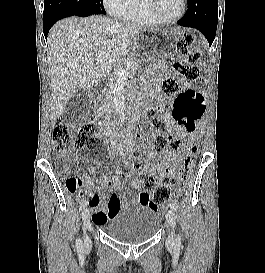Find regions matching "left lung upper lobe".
Returning <instances> with one entry per match:
<instances>
[{
    "mask_svg": "<svg viewBox=\"0 0 265 273\" xmlns=\"http://www.w3.org/2000/svg\"><path fill=\"white\" fill-rule=\"evenodd\" d=\"M187 1H188V0H187ZM217 15H218V12H217V11H216V12L214 11V12L211 14L212 17H215V16H217Z\"/></svg>",
    "mask_w": 265,
    "mask_h": 273,
    "instance_id": "obj_1",
    "label": "left lung upper lobe"
}]
</instances>
